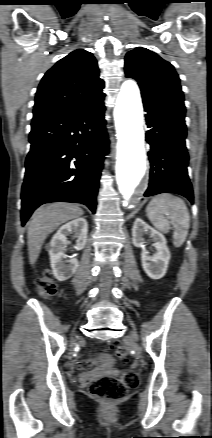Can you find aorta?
Wrapping results in <instances>:
<instances>
[{"mask_svg":"<svg viewBox=\"0 0 212 438\" xmlns=\"http://www.w3.org/2000/svg\"><path fill=\"white\" fill-rule=\"evenodd\" d=\"M114 119L118 137L117 184L123 197L129 199L146 172L143 107L139 88L132 80L125 81L121 86Z\"/></svg>","mask_w":212,"mask_h":438,"instance_id":"762f6f07","label":"aorta"}]
</instances>
